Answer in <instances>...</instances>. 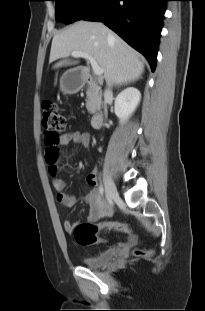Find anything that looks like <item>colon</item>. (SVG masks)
<instances>
[{
	"mask_svg": "<svg viewBox=\"0 0 205 311\" xmlns=\"http://www.w3.org/2000/svg\"><path fill=\"white\" fill-rule=\"evenodd\" d=\"M42 127L43 138L47 146L46 160L49 166L55 165L59 158V152L56 148L64 136L66 129V118L61 113L59 108L52 102H45L42 108ZM120 231L124 233H131V228L128 224L123 222H102L93 224L90 222L78 223L73 231L75 241L82 246H88L95 243H102L105 239L99 235L101 231ZM147 252L143 250H136L134 255L141 257Z\"/></svg>",
	"mask_w": 205,
	"mask_h": 311,
	"instance_id": "5ec220e1",
	"label": "colon"
}]
</instances>
